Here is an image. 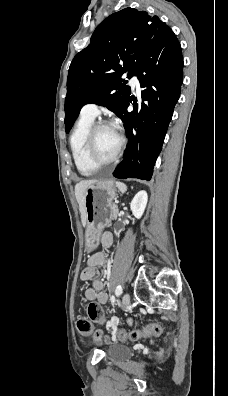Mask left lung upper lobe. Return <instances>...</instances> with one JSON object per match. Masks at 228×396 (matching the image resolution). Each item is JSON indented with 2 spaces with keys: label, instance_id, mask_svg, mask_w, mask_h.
Returning a JSON list of instances; mask_svg holds the SVG:
<instances>
[{
  "label": "left lung upper lobe",
  "instance_id": "obj_1",
  "mask_svg": "<svg viewBox=\"0 0 228 396\" xmlns=\"http://www.w3.org/2000/svg\"><path fill=\"white\" fill-rule=\"evenodd\" d=\"M170 29L157 16L125 8L102 21L71 62L65 98L68 133L85 104L105 106L121 118L130 98L127 78L137 75L153 39Z\"/></svg>",
  "mask_w": 228,
  "mask_h": 396
}]
</instances>
